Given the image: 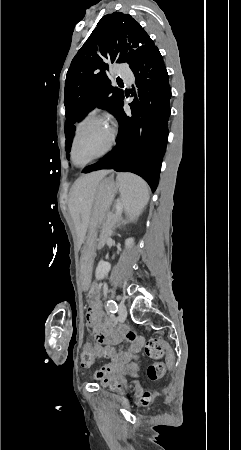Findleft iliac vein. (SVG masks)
<instances>
[{
	"mask_svg": "<svg viewBox=\"0 0 241 450\" xmlns=\"http://www.w3.org/2000/svg\"><path fill=\"white\" fill-rule=\"evenodd\" d=\"M118 314H119V318L121 321L125 320V318L127 316V309H126L125 303H123V302L119 303Z\"/></svg>",
	"mask_w": 241,
	"mask_h": 450,
	"instance_id": "obj_1",
	"label": "left iliac vein"
}]
</instances>
